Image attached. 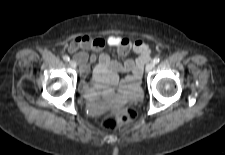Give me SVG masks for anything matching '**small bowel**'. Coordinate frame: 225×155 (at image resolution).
Instances as JSON below:
<instances>
[{"instance_id": "small-bowel-1", "label": "small bowel", "mask_w": 225, "mask_h": 155, "mask_svg": "<svg viewBox=\"0 0 225 155\" xmlns=\"http://www.w3.org/2000/svg\"><path fill=\"white\" fill-rule=\"evenodd\" d=\"M106 46L117 48L120 56H126L130 51H134L137 57L128 59L121 64L112 60L108 54L102 53L93 70L92 85L82 82L81 89L88 98H94L98 94L112 97L111 88L119 84L122 92L116 96V99L127 100L136 94L139 87L142 68L150 59L149 47L141 40L132 41L121 36H109L107 38L89 35L76 36L67 45V50L74 54L75 60L80 65V73L83 78L88 76L90 64L96 60L95 55H88L87 51L98 52ZM119 72H131V75L119 82Z\"/></svg>"}]
</instances>
